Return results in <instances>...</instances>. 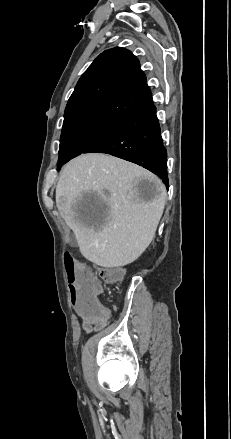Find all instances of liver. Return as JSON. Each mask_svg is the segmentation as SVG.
I'll return each mask as SVG.
<instances>
[{
    "label": "liver",
    "instance_id": "6515ba94",
    "mask_svg": "<svg viewBox=\"0 0 231 439\" xmlns=\"http://www.w3.org/2000/svg\"><path fill=\"white\" fill-rule=\"evenodd\" d=\"M140 180L152 183L144 194ZM84 195L96 196L104 212L83 213ZM166 201L162 181L147 169L101 153L80 155L62 169L56 206L74 232L81 254L105 268L134 262L152 242Z\"/></svg>",
    "mask_w": 231,
    "mask_h": 439
}]
</instances>
